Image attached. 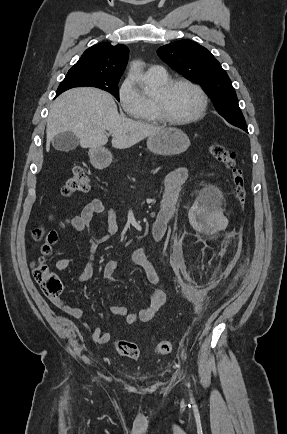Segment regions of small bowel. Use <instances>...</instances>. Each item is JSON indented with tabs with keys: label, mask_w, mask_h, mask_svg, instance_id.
I'll use <instances>...</instances> for the list:
<instances>
[{
	"label": "small bowel",
	"mask_w": 287,
	"mask_h": 434,
	"mask_svg": "<svg viewBox=\"0 0 287 434\" xmlns=\"http://www.w3.org/2000/svg\"><path fill=\"white\" fill-rule=\"evenodd\" d=\"M188 171L185 167H178L172 170L165 179V191L157 209V217L152 229V235L155 241L160 242L165 238L168 224L176 211V205L180 193L187 182ZM94 215H99L105 221V233L100 237L90 235L91 222ZM66 224L75 229L79 234L88 235L87 242L89 245L90 255L87 264L82 272L76 276L78 282H86L91 279L94 273V258L98 246L114 237L119 230L117 212L114 208H107L101 199L91 200L83 210L66 220ZM133 264L138 266L144 273L147 281L151 284H158L161 280L160 275L148 255L142 248L134 249L130 254ZM120 260L112 258L107 261L103 268V276L108 281L114 280V273L118 268ZM69 261L67 259H58L55 261V268L58 271L67 269ZM52 302L57 305L67 315L76 319H81L84 311L79 307L68 305L62 298H51ZM167 293L158 289L151 293L148 299V305L139 313H128L127 309L114 301L110 303V311L115 315L124 316V326L132 325L136 322H148L152 320L157 311L165 304ZM84 326L91 332L93 338L100 344H106L111 339V334L103 332L100 328H90L86 323Z\"/></svg>",
	"instance_id": "1"
}]
</instances>
